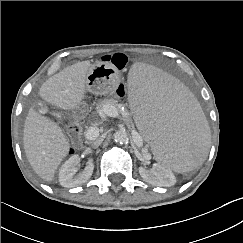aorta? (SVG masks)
Instances as JSON below:
<instances>
[{
  "instance_id": "1",
  "label": "aorta",
  "mask_w": 243,
  "mask_h": 243,
  "mask_svg": "<svg viewBox=\"0 0 243 243\" xmlns=\"http://www.w3.org/2000/svg\"><path fill=\"white\" fill-rule=\"evenodd\" d=\"M113 139L116 143L124 144L128 141V135L125 130H117L113 134Z\"/></svg>"
}]
</instances>
